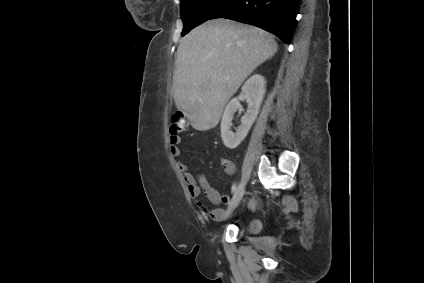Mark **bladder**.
I'll return each instance as SVG.
<instances>
[{
  "label": "bladder",
  "mask_w": 424,
  "mask_h": 283,
  "mask_svg": "<svg viewBox=\"0 0 424 283\" xmlns=\"http://www.w3.org/2000/svg\"><path fill=\"white\" fill-rule=\"evenodd\" d=\"M260 229V222L257 219L250 220L246 225V231L248 232H258Z\"/></svg>",
  "instance_id": "1"
}]
</instances>
